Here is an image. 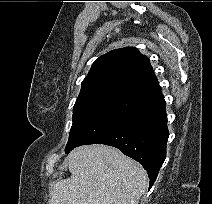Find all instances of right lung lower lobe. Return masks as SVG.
I'll return each mask as SVG.
<instances>
[{
    "instance_id": "1",
    "label": "right lung lower lobe",
    "mask_w": 212,
    "mask_h": 204,
    "mask_svg": "<svg viewBox=\"0 0 212 204\" xmlns=\"http://www.w3.org/2000/svg\"><path fill=\"white\" fill-rule=\"evenodd\" d=\"M165 104L162 95L149 101L126 124L96 142L116 147L138 161L149 175V188L166 158L169 133Z\"/></svg>"
}]
</instances>
